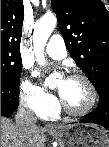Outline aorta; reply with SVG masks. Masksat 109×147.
Instances as JSON below:
<instances>
[{
	"label": "aorta",
	"mask_w": 109,
	"mask_h": 147,
	"mask_svg": "<svg viewBox=\"0 0 109 147\" xmlns=\"http://www.w3.org/2000/svg\"><path fill=\"white\" fill-rule=\"evenodd\" d=\"M57 23V19L54 14L47 13L40 18L34 26L33 43L36 60L40 65H44V48L48 41L49 36L54 30ZM57 78L56 74H51L48 77V82H54Z\"/></svg>",
	"instance_id": "aorta-1"
}]
</instances>
